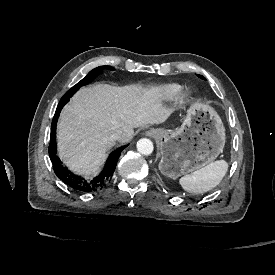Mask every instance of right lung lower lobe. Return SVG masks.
Returning <instances> with one entry per match:
<instances>
[{
  "mask_svg": "<svg viewBox=\"0 0 275 275\" xmlns=\"http://www.w3.org/2000/svg\"><path fill=\"white\" fill-rule=\"evenodd\" d=\"M69 101V99L60 100L58 107L56 109L55 115L53 117L52 125H51V135H50V145H49V156L53 165V169L57 177L62 180L69 187L80 191V192H91L96 191L105 186V184L111 179L117 161L120 157L121 152L127 145L122 146L115 150L103 171L95 178L87 180L81 176L75 175L70 172L66 167L62 165V162L56 156V124L59 117V114L63 108V106Z\"/></svg>",
  "mask_w": 275,
  "mask_h": 275,
  "instance_id": "98d812e1",
  "label": "right lung lower lobe"
}]
</instances>
